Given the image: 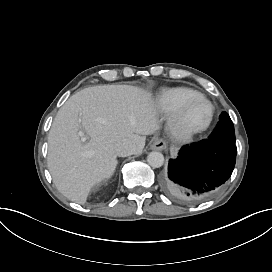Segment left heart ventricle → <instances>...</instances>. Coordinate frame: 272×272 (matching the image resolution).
<instances>
[{"instance_id":"1","label":"left heart ventricle","mask_w":272,"mask_h":272,"mask_svg":"<svg viewBox=\"0 0 272 272\" xmlns=\"http://www.w3.org/2000/svg\"><path fill=\"white\" fill-rule=\"evenodd\" d=\"M210 114L209 104L205 100L197 98L184 109L182 121L186 127H199L208 122Z\"/></svg>"}]
</instances>
